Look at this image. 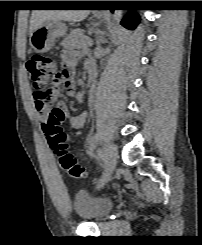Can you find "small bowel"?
<instances>
[{
    "instance_id": "small-bowel-1",
    "label": "small bowel",
    "mask_w": 202,
    "mask_h": 245,
    "mask_svg": "<svg viewBox=\"0 0 202 245\" xmlns=\"http://www.w3.org/2000/svg\"><path fill=\"white\" fill-rule=\"evenodd\" d=\"M78 60L79 54L76 52L64 51L61 55L62 64L69 71V74L71 76H73L75 73V68L78 63ZM88 65H92L95 69V63L91 58L85 60V67L87 68ZM64 87L67 91L68 96L73 97L75 95V85L72 81H66L64 83ZM55 111L62 116L63 120L68 121L70 125L74 128L83 127L87 120L86 112H83L77 116H71L67 105L63 102L58 103L57 107L55 108ZM34 112L36 114V117L40 121L46 122L48 118V113L45 112V109L42 105L38 106L37 102H35Z\"/></svg>"
}]
</instances>
